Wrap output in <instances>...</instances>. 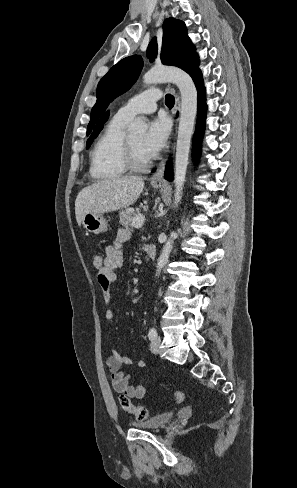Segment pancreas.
Segmentation results:
<instances>
[{
    "label": "pancreas",
    "instance_id": "obj_1",
    "mask_svg": "<svg viewBox=\"0 0 297 488\" xmlns=\"http://www.w3.org/2000/svg\"><path fill=\"white\" fill-rule=\"evenodd\" d=\"M136 213L134 210L130 211L129 208L122 210L119 214V222L122 226L126 228H133V220L136 217Z\"/></svg>",
    "mask_w": 297,
    "mask_h": 488
}]
</instances>
